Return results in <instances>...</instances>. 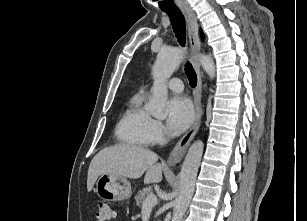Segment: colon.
<instances>
[{"mask_svg": "<svg viewBox=\"0 0 307 221\" xmlns=\"http://www.w3.org/2000/svg\"><path fill=\"white\" fill-rule=\"evenodd\" d=\"M97 218L99 221H109L114 218V211L109 203L104 201L97 203Z\"/></svg>", "mask_w": 307, "mask_h": 221, "instance_id": "obj_1", "label": "colon"}]
</instances>
